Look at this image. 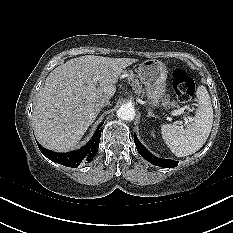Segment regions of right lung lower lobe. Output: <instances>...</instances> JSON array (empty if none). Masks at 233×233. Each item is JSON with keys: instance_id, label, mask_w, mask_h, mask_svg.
I'll return each mask as SVG.
<instances>
[{"instance_id": "98d812e1", "label": "right lung lower lobe", "mask_w": 233, "mask_h": 233, "mask_svg": "<svg viewBox=\"0 0 233 233\" xmlns=\"http://www.w3.org/2000/svg\"><path fill=\"white\" fill-rule=\"evenodd\" d=\"M101 125L102 124H100L99 127L97 128L92 139L84 147L76 151L60 154L47 150L44 147H42L40 144L38 143L37 144L42 154L45 155L51 161H54L56 163H59L67 167L75 168L81 163V161L84 160L90 162L96 155L100 142Z\"/></svg>"}]
</instances>
